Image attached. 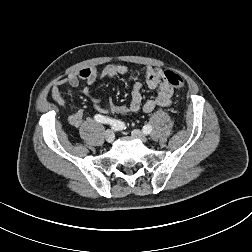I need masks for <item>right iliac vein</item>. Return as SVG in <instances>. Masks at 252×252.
Masks as SVG:
<instances>
[{
  "label": "right iliac vein",
  "instance_id": "1",
  "mask_svg": "<svg viewBox=\"0 0 252 252\" xmlns=\"http://www.w3.org/2000/svg\"><path fill=\"white\" fill-rule=\"evenodd\" d=\"M104 135H105L106 141L109 143H112L115 139V134L111 130H107Z\"/></svg>",
  "mask_w": 252,
  "mask_h": 252
}]
</instances>
